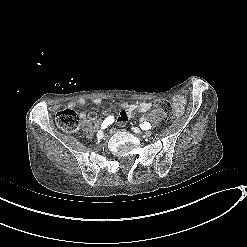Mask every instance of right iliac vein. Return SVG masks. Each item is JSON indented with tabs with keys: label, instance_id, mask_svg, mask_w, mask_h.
I'll return each mask as SVG.
<instances>
[{
	"label": "right iliac vein",
	"instance_id": "obj_1",
	"mask_svg": "<svg viewBox=\"0 0 247 247\" xmlns=\"http://www.w3.org/2000/svg\"><path fill=\"white\" fill-rule=\"evenodd\" d=\"M104 137V132L102 130L98 131L97 138L102 139Z\"/></svg>",
	"mask_w": 247,
	"mask_h": 247
}]
</instances>
